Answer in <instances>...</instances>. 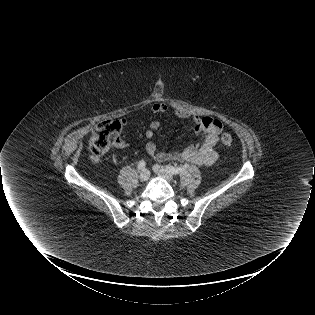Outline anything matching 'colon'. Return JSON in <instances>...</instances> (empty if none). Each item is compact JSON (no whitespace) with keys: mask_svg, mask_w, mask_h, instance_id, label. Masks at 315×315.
I'll return each mask as SVG.
<instances>
[{"mask_svg":"<svg viewBox=\"0 0 315 315\" xmlns=\"http://www.w3.org/2000/svg\"><path fill=\"white\" fill-rule=\"evenodd\" d=\"M121 124L119 121H104L98 124L90 137L91 158L98 161L115 144L120 142ZM220 141L224 146H230L233 138L229 133H223Z\"/></svg>","mask_w":315,"mask_h":315,"instance_id":"5ec220e1","label":"colon"}]
</instances>
